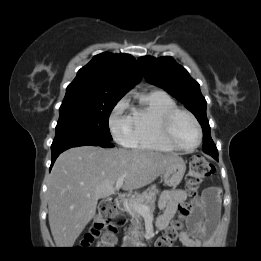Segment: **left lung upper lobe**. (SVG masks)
Returning a JSON list of instances; mask_svg holds the SVG:
<instances>
[{
  "label": "left lung upper lobe",
  "mask_w": 261,
  "mask_h": 261,
  "mask_svg": "<svg viewBox=\"0 0 261 261\" xmlns=\"http://www.w3.org/2000/svg\"><path fill=\"white\" fill-rule=\"evenodd\" d=\"M146 81L163 88L182 102L198 119L203 129V151L218 155L211 138L210 126L206 116V100L201 94L200 85L190 77L181 65L170 56L154 58L144 56L138 59Z\"/></svg>",
  "instance_id": "obj_1"
}]
</instances>
